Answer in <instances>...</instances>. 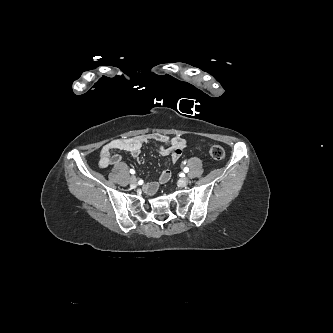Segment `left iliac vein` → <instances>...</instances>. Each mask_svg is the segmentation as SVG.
<instances>
[{"label": "left iliac vein", "instance_id": "obj_1", "mask_svg": "<svg viewBox=\"0 0 333 333\" xmlns=\"http://www.w3.org/2000/svg\"><path fill=\"white\" fill-rule=\"evenodd\" d=\"M188 182H189L188 178H186V177L181 178L178 180V186L185 187V186H187Z\"/></svg>", "mask_w": 333, "mask_h": 333}]
</instances>
